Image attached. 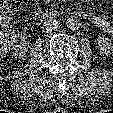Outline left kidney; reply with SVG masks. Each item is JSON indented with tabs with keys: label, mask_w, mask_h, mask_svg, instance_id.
I'll list each match as a JSON object with an SVG mask.
<instances>
[{
	"label": "left kidney",
	"mask_w": 113,
	"mask_h": 113,
	"mask_svg": "<svg viewBox=\"0 0 113 113\" xmlns=\"http://www.w3.org/2000/svg\"><path fill=\"white\" fill-rule=\"evenodd\" d=\"M96 44L100 51L104 52L105 54L112 53L113 54V45L109 38L104 36H99L96 39Z\"/></svg>",
	"instance_id": "left-kidney-1"
}]
</instances>
